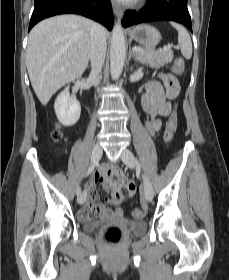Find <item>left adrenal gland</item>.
I'll use <instances>...</instances> for the list:
<instances>
[{
	"mask_svg": "<svg viewBox=\"0 0 229 280\" xmlns=\"http://www.w3.org/2000/svg\"><path fill=\"white\" fill-rule=\"evenodd\" d=\"M131 58H134L135 59V57H134V54H133V52H132V49L130 48L129 49V60L131 59Z\"/></svg>",
	"mask_w": 229,
	"mask_h": 280,
	"instance_id": "1",
	"label": "left adrenal gland"
}]
</instances>
